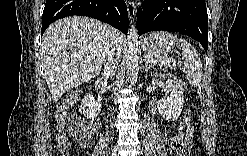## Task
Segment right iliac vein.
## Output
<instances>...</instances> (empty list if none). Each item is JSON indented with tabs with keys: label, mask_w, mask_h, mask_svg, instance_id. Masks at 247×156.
<instances>
[{
	"label": "right iliac vein",
	"mask_w": 247,
	"mask_h": 156,
	"mask_svg": "<svg viewBox=\"0 0 247 156\" xmlns=\"http://www.w3.org/2000/svg\"><path fill=\"white\" fill-rule=\"evenodd\" d=\"M116 151H117V148L114 149V151L112 153L113 156H116L117 155Z\"/></svg>",
	"instance_id": "1"
}]
</instances>
